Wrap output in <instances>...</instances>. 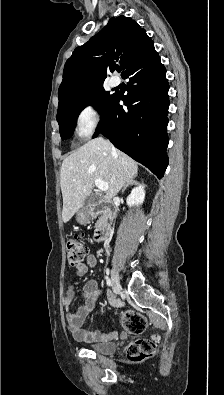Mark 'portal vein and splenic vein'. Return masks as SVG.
Returning a JSON list of instances; mask_svg holds the SVG:
<instances>
[{
	"mask_svg": "<svg viewBox=\"0 0 224 395\" xmlns=\"http://www.w3.org/2000/svg\"><path fill=\"white\" fill-rule=\"evenodd\" d=\"M95 185L101 190V191H107L109 189L108 183L102 181L101 179H96L95 180Z\"/></svg>",
	"mask_w": 224,
	"mask_h": 395,
	"instance_id": "18ae733b",
	"label": "portal vein and splenic vein"
}]
</instances>
